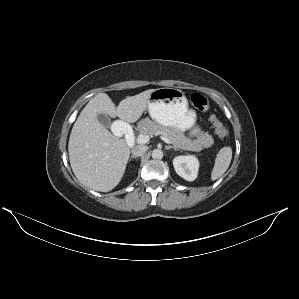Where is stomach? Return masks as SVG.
Here are the masks:
<instances>
[{"label":"stomach","instance_id":"1","mask_svg":"<svg viewBox=\"0 0 299 299\" xmlns=\"http://www.w3.org/2000/svg\"><path fill=\"white\" fill-rule=\"evenodd\" d=\"M147 107L150 117L158 124L178 131L190 130L191 136L200 134V128L195 126L196 114L189 110L188 100L181 90L170 87L155 89Z\"/></svg>","mask_w":299,"mask_h":299}]
</instances>
